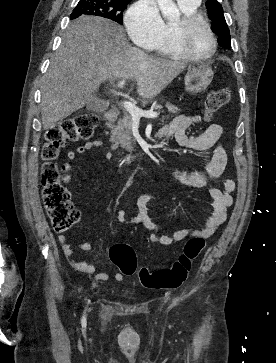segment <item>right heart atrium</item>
<instances>
[{
    "mask_svg": "<svg viewBox=\"0 0 276 363\" xmlns=\"http://www.w3.org/2000/svg\"><path fill=\"white\" fill-rule=\"evenodd\" d=\"M125 25L132 40L151 49L163 33L164 21L154 0H138L128 9Z\"/></svg>",
    "mask_w": 276,
    "mask_h": 363,
    "instance_id": "obj_1",
    "label": "right heart atrium"
}]
</instances>
